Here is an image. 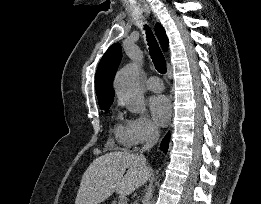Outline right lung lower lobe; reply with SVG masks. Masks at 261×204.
I'll use <instances>...</instances> for the list:
<instances>
[{
	"label": "right lung lower lobe",
	"instance_id": "98d812e1",
	"mask_svg": "<svg viewBox=\"0 0 261 204\" xmlns=\"http://www.w3.org/2000/svg\"><path fill=\"white\" fill-rule=\"evenodd\" d=\"M170 140V133H168L161 142L160 149L167 152Z\"/></svg>",
	"mask_w": 261,
	"mask_h": 204
}]
</instances>
